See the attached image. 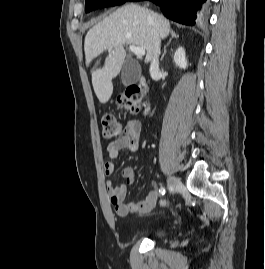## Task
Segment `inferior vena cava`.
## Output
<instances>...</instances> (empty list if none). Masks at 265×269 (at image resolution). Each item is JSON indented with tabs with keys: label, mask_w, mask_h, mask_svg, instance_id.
<instances>
[{
	"label": "inferior vena cava",
	"mask_w": 265,
	"mask_h": 269,
	"mask_svg": "<svg viewBox=\"0 0 265 269\" xmlns=\"http://www.w3.org/2000/svg\"><path fill=\"white\" fill-rule=\"evenodd\" d=\"M161 41L156 31H154V52L150 65V75L153 79L156 78L159 72V54H160Z\"/></svg>",
	"instance_id": "1"
}]
</instances>
